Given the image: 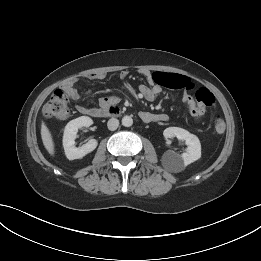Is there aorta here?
<instances>
[{
	"mask_svg": "<svg viewBox=\"0 0 261 261\" xmlns=\"http://www.w3.org/2000/svg\"><path fill=\"white\" fill-rule=\"evenodd\" d=\"M133 124V119L131 116H124L122 118V125L125 127H130Z\"/></svg>",
	"mask_w": 261,
	"mask_h": 261,
	"instance_id": "aorta-1",
	"label": "aorta"
}]
</instances>
